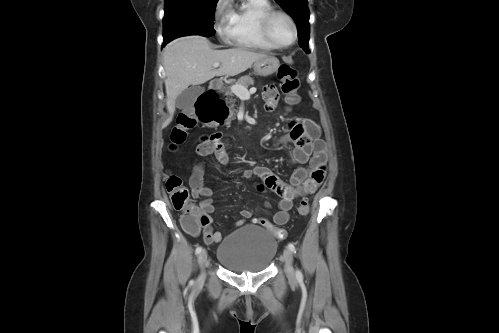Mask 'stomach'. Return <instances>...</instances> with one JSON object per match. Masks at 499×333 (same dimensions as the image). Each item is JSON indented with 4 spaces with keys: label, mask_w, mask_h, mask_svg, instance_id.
I'll return each mask as SVG.
<instances>
[{
    "label": "stomach",
    "mask_w": 499,
    "mask_h": 333,
    "mask_svg": "<svg viewBox=\"0 0 499 333\" xmlns=\"http://www.w3.org/2000/svg\"><path fill=\"white\" fill-rule=\"evenodd\" d=\"M279 60L275 57L267 56L254 63V71L260 76H269L275 73L279 68Z\"/></svg>",
    "instance_id": "1"
}]
</instances>
